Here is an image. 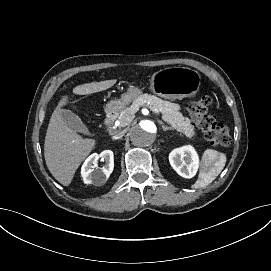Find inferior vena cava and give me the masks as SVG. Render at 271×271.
Returning <instances> with one entry per match:
<instances>
[{"mask_svg":"<svg viewBox=\"0 0 271 271\" xmlns=\"http://www.w3.org/2000/svg\"><path fill=\"white\" fill-rule=\"evenodd\" d=\"M123 135H124V132L121 131V132L116 133L112 138L113 139H118V138H121Z\"/></svg>","mask_w":271,"mask_h":271,"instance_id":"obj_1","label":"inferior vena cava"}]
</instances>
